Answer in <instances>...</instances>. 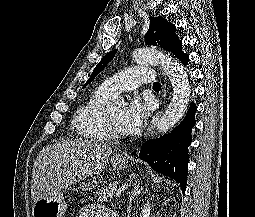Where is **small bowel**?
<instances>
[{"label":"small bowel","mask_w":255,"mask_h":217,"mask_svg":"<svg viewBox=\"0 0 255 217\" xmlns=\"http://www.w3.org/2000/svg\"><path fill=\"white\" fill-rule=\"evenodd\" d=\"M78 217H118L116 213L109 211L101 205L89 204L83 206Z\"/></svg>","instance_id":"small-bowel-1"}]
</instances>
